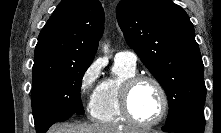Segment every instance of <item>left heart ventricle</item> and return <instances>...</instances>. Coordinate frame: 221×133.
<instances>
[{"mask_svg":"<svg viewBox=\"0 0 221 133\" xmlns=\"http://www.w3.org/2000/svg\"><path fill=\"white\" fill-rule=\"evenodd\" d=\"M131 110L140 121L149 122L157 118L161 110V97L154 84L140 82L131 95Z\"/></svg>","mask_w":221,"mask_h":133,"instance_id":"b2bd125f","label":"left heart ventricle"}]
</instances>
